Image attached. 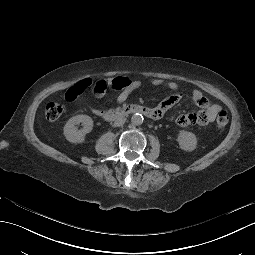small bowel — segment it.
<instances>
[{
    "label": "small bowel",
    "mask_w": 255,
    "mask_h": 255,
    "mask_svg": "<svg viewBox=\"0 0 255 255\" xmlns=\"http://www.w3.org/2000/svg\"><path fill=\"white\" fill-rule=\"evenodd\" d=\"M122 78V77H121ZM124 84L120 88H115L119 90V94L116 97L118 104L124 103L128 96L136 89L143 85L141 80H131L128 78H122ZM150 83L154 86H164L174 91L172 95L161 101L154 109L156 110L158 116H162L166 111L174 107L180 102L183 95L178 91L179 85L174 81H168L160 78H154L150 80ZM108 87H113L110 80H101L94 84L92 89V94L95 98H101ZM114 88V87H113ZM82 89H78L77 85L70 87L65 93V100L68 102L74 101L80 94ZM191 101L199 107L201 110L198 112H192L180 115L176 123L180 127H185L189 125H200L204 126L214 121L221 107L218 104L211 102L206 98L200 91L195 90L190 95Z\"/></svg>",
    "instance_id": "small-bowel-1"
}]
</instances>
